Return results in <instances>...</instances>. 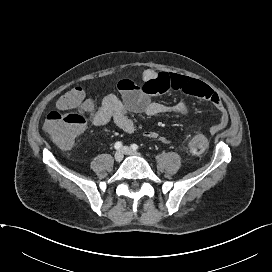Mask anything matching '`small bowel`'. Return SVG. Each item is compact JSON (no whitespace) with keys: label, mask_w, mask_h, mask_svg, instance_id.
Returning <instances> with one entry per match:
<instances>
[{"label":"small bowel","mask_w":272,"mask_h":272,"mask_svg":"<svg viewBox=\"0 0 272 272\" xmlns=\"http://www.w3.org/2000/svg\"><path fill=\"white\" fill-rule=\"evenodd\" d=\"M140 82L138 84L129 78L121 79L117 84L121 97L115 94L107 95L101 106L91 113L93 124L104 126L113 122L122 131L132 133L135 130V125L128 116L129 112L148 116L174 113L183 117L185 127L190 128L189 108L185 103L169 107L152 98L155 94L169 91H182L187 95L209 102L220 115L219 122L211 127L212 134L224 129L228 124V113L218 94L199 80L175 73L147 69L140 74ZM144 135L149 139L169 142L166 137L160 136L154 131L145 132Z\"/></svg>","instance_id":"obj_1"}]
</instances>
